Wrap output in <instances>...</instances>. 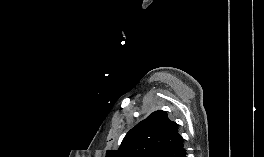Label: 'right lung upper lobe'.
Masks as SVG:
<instances>
[{"label": "right lung upper lobe", "mask_w": 264, "mask_h": 157, "mask_svg": "<svg viewBox=\"0 0 264 157\" xmlns=\"http://www.w3.org/2000/svg\"><path fill=\"white\" fill-rule=\"evenodd\" d=\"M185 152L178 125L165 111H155L133 127L118 150L106 157H182Z\"/></svg>", "instance_id": "1"}]
</instances>
